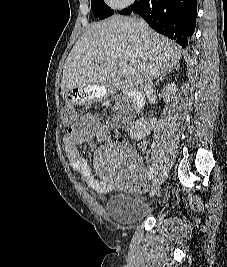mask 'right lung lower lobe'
Masks as SVG:
<instances>
[{"label": "right lung lower lobe", "instance_id": "obj_1", "mask_svg": "<svg viewBox=\"0 0 227 267\" xmlns=\"http://www.w3.org/2000/svg\"><path fill=\"white\" fill-rule=\"evenodd\" d=\"M137 13L157 32L174 39L183 48L196 26L197 0H135L120 14Z\"/></svg>", "mask_w": 227, "mask_h": 267}]
</instances>
